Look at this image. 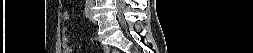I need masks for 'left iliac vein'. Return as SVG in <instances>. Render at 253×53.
<instances>
[{
	"label": "left iliac vein",
	"instance_id": "4c4485c4",
	"mask_svg": "<svg viewBox=\"0 0 253 53\" xmlns=\"http://www.w3.org/2000/svg\"><path fill=\"white\" fill-rule=\"evenodd\" d=\"M89 19H90L91 21H94L93 13H92L91 7H90Z\"/></svg>",
	"mask_w": 253,
	"mask_h": 53
}]
</instances>
